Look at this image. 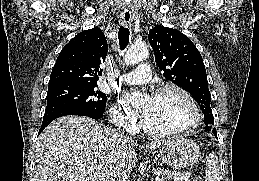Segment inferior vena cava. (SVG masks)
<instances>
[{"instance_id":"inferior-vena-cava-1","label":"inferior vena cava","mask_w":259,"mask_h":181,"mask_svg":"<svg viewBox=\"0 0 259 181\" xmlns=\"http://www.w3.org/2000/svg\"><path fill=\"white\" fill-rule=\"evenodd\" d=\"M122 134H123V136H125L124 133H122ZM110 181H121V179H120V177L113 176V177H111Z\"/></svg>"}]
</instances>
